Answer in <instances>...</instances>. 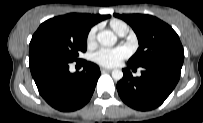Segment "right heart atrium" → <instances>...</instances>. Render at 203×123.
<instances>
[{
  "label": "right heart atrium",
  "instance_id": "d8ad5b80",
  "mask_svg": "<svg viewBox=\"0 0 203 123\" xmlns=\"http://www.w3.org/2000/svg\"><path fill=\"white\" fill-rule=\"evenodd\" d=\"M95 38H96V28H92L87 36L88 44H92L95 41Z\"/></svg>",
  "mask_w": 203,
  "mask_h": 123
}]
</instances>
